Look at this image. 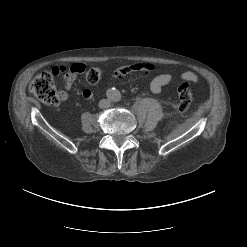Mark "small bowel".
I'll return each instance as SVG.
<instances>
[{"label": "small bowel", "instance_id": "small-bowel-1", "mask_svg": "<svg viewBox=\"0 0 247 247\" xmlns=\"http://www.w3.org/2000/svg\"><path fill=\"white\" fill-rule=\"evenodd\" d=\"M154 67L150 64H133L130 66L120 67L115 70V76L122 77L125 76L133 71H153ZM87 66L84 63H73L69 67L65 66H55L52 69V72L55 76L59 77L63 75V90L59 92V98L60 101H65L67 99V91H69L76 79V77L80 74H83L86 72ZM181 79L187 82H197L198 77L196 74H194L191 71H186L182 73ZM172 80V76L169 73H161L155 76L151 83H150V89L154 94L160 95L163 92V88L168 85ZM94 96V93L91 89H85L83 91V97L85 99H92Z\"/></svg>", "mask_w": 247, "mask_h": 247}]
</instances>
